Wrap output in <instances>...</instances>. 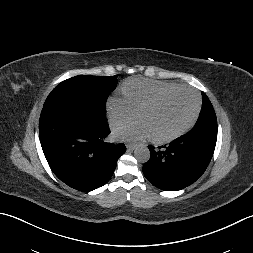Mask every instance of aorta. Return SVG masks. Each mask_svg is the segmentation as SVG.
Segmentation results:
<instances>
[{"mask_svg":"<svg viewBox=\"0 0 253 253\" xmlns=\"http://www.w3.org/2000/svg\"><path fill=\"white\" fill-rule=\"evenodd\" d=\"M135 158L141 162L146 163L150 158V151L145 145H138L134 150Z\"/></svg>","mask_w":253,"mask_h":253,"instance_id":"1","label":"aorta"}]
</instances>
